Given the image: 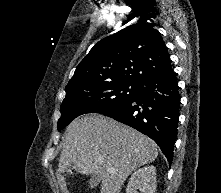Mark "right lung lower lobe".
Here are the masks:
<instances>
[{
  "mask_svg": "<svg viewBox=\"0 0 221 193\" xmlns=\"http://www.w3.org/2000/svg\"><path fill=\"white\" fill-rule=\"evenodd\" d=\"M180 109L176 75L151 76L141 83L133 98L116 108L99 112L149 136L160 147L171 165Z\"/></svg>",
  "mask_w": 221,
  "mask_h": 193,
  "instance_id": "obj_1",
  "label": "right lung lower lobe"
}]
</instances>
